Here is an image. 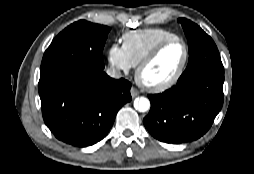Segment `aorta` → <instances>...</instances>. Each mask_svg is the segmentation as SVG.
<instances>
[{
  "label": "aorta",
  "mask_w": 254,
  "mask_h": 174,
  "mask_svg": "<svg viewBox=\"0 0 254 174\" xmlns=\"http://www.w3.org/2000/svg\"><path fill=\"white\" fill-rule=\"evenodd\" d=\"M134 107L139 112H146L150 109V101L145 97L136 98Z\"/></svg>",
  "instance_id": "1"
}]
</instances>
